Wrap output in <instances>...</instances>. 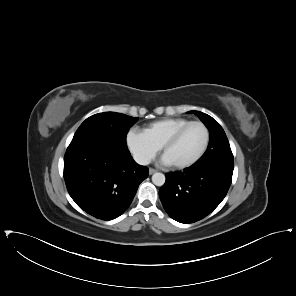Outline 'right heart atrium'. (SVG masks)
I'll return each instance as SVG.
<instances>
[{
	"instance_id": "d8ad5b80",
	"label": "right heart atrium",
	"mask_w": 296,
	"mask_h": 296,
	"mask_svg": "<svg viewBox=\"0 0 296 296\" xmlns=\"http://www.w3.org/2000/svg\"><path fill=\"white\" fill-rule=\"evenodd\" d=\"M126 142L135 158L143 164L149 163L160 148L138 128H132L128 132Z\"/></svg>"
}]
</instances>
